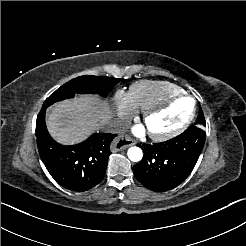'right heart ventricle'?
I'll use <instances>...</instances> for the list:
<instances>
[{"label":"right heart ventricle","mask_w":246,"mask_h":246,"mask_svg":"<svg viewBox=\"0 0 246 246\" xmlns=\"http://www.w3.org/2000/svg\"><path fill=\"white\" fill-rule=\"evenodd\" d=\"M182 93V89L161 81H139L131 85L129 95L132 107L137 111H147Z\"/></svg>","instance_id":"obj_1"}]
</instances>
